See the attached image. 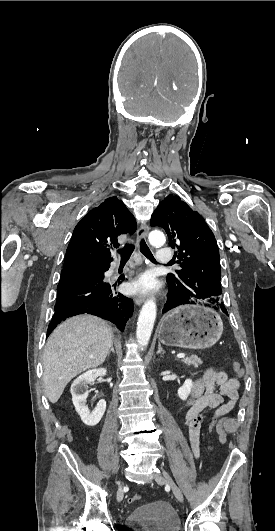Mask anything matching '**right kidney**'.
I'll return each mask as SVG.
<instances>
[{
  "label": "right kidney",
  "instance_id": "right-kidney-1",
  "mask_svg": "<svg viewBox=\"0 0 275 531\" xmlns=\"http://www.w3.org/2000/svg\"><path fill=\"white\" fill-rule=\"evenodd\" d=\"M106 373V369H91V371H86V373L77 377L71 385L70 393L72 395V403L75 407V411H77L78 415H80L81 421H83L84 425H87V427H95V425H98L106 409V401L101 399V401L97 403V407H95L94 411L89 413L86 405V399L88 397L87 387L88 385H93L97 377H105Z\"/></svg>",
  "mask_w": 275,
  "mask_h": 531
}]
</instances>
